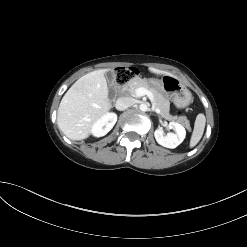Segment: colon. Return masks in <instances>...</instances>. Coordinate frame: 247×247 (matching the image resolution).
I'll list each match as a JSON object with an SVG mask.
<instances>
[{"label": "colon", "mask_w": 247, "mask_h": 247, "mask_svg": "<svg viewBox=\"0 0 247 247\" xmlns=\"http://www.w3.org/2000/svg\"><path fill=\"white\" fill-rule=\"evenodd\" d=\"M136 73L134 68H117L114 73L115 83L123 85L127 83Z\"/></svg>", "instance_id": "5ec220e1"}]
</instances>
